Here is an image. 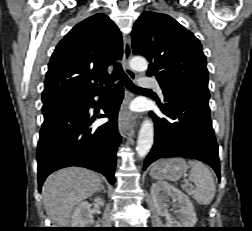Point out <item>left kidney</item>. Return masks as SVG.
<instances>
[{
  "label": "left kidney",
  "mask_w": 252,
  "mask_h": 231,
  "mask_svg": "<svg viewBox=\"0 0 252 231\" xmlns=\"http://www.w3.org/2000/svg\"><path fill=\"white\" fill-rule=\"evenodd\" d=\"M151 196L157 213L165 216L169 228H193L196 224L197 218L194 206L188 196L180 190L167 183L158 182L152 184ZM169 197L179 208V215L176 218L169 214L166 203Z\"/></svg>",
  "instance_id": "left-kidney-1"
}]
</instances>
